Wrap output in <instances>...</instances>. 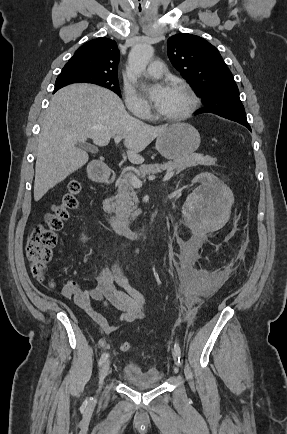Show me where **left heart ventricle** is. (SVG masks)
Returning a JSON list of instances; mask_svg holds the SVG:
<instances>
[{
	"label": "left heart ventricle",
	"mask_w": 287,
	"mask_h": 434,
	"mask_svg": "<svg viewBox=\"0 0 287 434\" xmlns=\"http://www.w3.org/2000/svg\"><path fill=\"white\" fill-rule=\"evenodd\" d=\"M188 103L187 95L179 88L172 86L169 97L159 112L166 116H176L185 111Z\"/></svg>",
	"instance_id": "b2bd125f"
}]
</instances>
